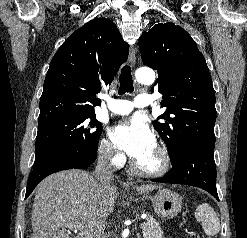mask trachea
Wrapping results in <instances>:
<instances>
[{
	"label": "trachea",
	"mask_w": 247,
	"mask_h": 238,
	"mask_svg": "<svg viewBox=\"0 0 247 238\" xmlns=\"http://www.w3.org/2000/svg\"><path fill=\"white\" fill-rule=\"evenodd\" d=\"M119 78H120V87H119L118 93L120 95H122L126 92H133L134 91L130 66L125 65L121 69V74H120Z\"/></svg>",
	"instance_id": "3493384b"
}]
</instances>
